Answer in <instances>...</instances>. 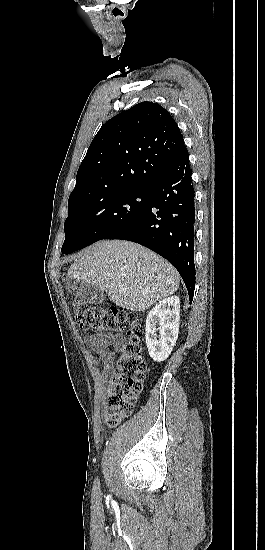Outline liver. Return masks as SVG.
Segmentation results:
<instances>
[{"label": "liver", "mask_w": 265, "mask_h": 550, "mask_svg": "<svg viewBox=\"0 0 265 550\" xmlns=\"http://www.w3.org/2000/svg\"><path fill=\"white\" fill-rule=\"evenodd\" d=\"M67 275L77 283L99 288L115 305L131 311H144L174 294L180 281L168 261L124 240H102L83 249Z\"/></svg>", "instance_id": "liver-1"}]
</instances>
